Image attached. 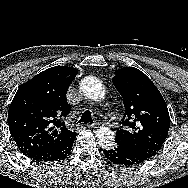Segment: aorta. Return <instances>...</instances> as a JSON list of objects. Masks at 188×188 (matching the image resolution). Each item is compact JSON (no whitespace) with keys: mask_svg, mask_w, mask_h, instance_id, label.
<instances>
[{"mask_svg":"<svg viewBox=\"0 0 188 188\" xmlns=\"http://www.w3.org/2000/svg\"><path fill=\"white\" fill-rule=\"evenodd\" d=\"M80 89L83 94L90 99H101L105 95V87L102 82L93 76H87L82 79ZM96 138L103 148H109L114 143V132L107 127H100L96 131Z\"/></svg>","mask_w":188,"mask_h":188,"instance_id":"obj_1","label":"aorta"}]
</instances>
